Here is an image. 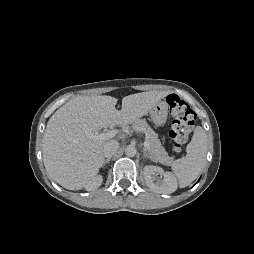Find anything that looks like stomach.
I'll list each match as a JSON object with an SVG mask.
<instances>
[{
	"instance_id": "stomach-1",
	"label": "stomach",
	"mask_w": 254,
	"mask_h": 254,
	"mask_svg": "<svg viewBox=\"0 0 254 254\" xmlns=\"http://www.w3.org/2000/svg\"><path fill=\"white\" fill-rule=\"evenodd\" d=\"M168 104L166 101H159L150 111V117L156 126H163L167 121Z\"/></svg>"
}]
</instances>
